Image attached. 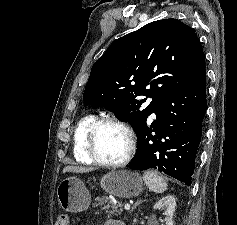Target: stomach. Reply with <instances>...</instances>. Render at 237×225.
I'll return each instance as SVG.
<instances>
[{
    "label": "stomach",
    "mask_w": 237,
    "mask_h": 225,
    "mask_svg": "<svg viewBox=\"0 0 237 225\" xmlns=\"http://www.w3.org/2000/svg\"><path fill=\"white\" fill-rule=\"evenodd\" d=\"M103 190L119 198H131L143 190V180L139 174L128 170H113L100 181ZM58 202L63 210L77 213L86 210L91 201L85 184L77 177L62 180L57 187Z\"/></svg>",
    "instance_id": "stomach-1"
}]
</instances>
